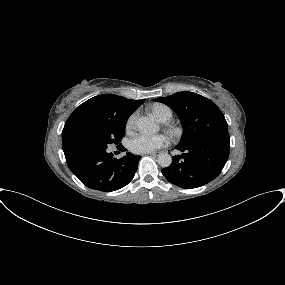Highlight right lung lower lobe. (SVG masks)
<instances>
[{"label":"right lung lower lobe","instance_id":"right-lung-lower-lobe-1","mask_svg":"<svg viewBox=\"0 0 285 285\" xmlns=\"http://www.w3.org/2000/svg\"><path fill=\"white\" fill-rule=\"evenodd\" d=\"M107 148L78 146L64 153L72 173L87 187L103 192L118 190L134 177L141 156L129 152L120 159Z\"/></svg>","mask_w":285,"mask_h":285}]
</instances>
